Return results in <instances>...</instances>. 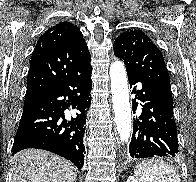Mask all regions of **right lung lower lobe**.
I'll return each instance as SVG.
<instances>
[{
	"label": "right lung lower lobe",
	"mask_w": 196,
	"mask_h": 182,
	"mask_svg": "<svg viewBox=\"0 0 196 182\" xmlns=\"http://www.w3.org/2000/svg\"><path fill=\"white\" fill-rule=\"evenodd\" d=\"M91 72L88 61L24 107L13 154L27 148L43 149L82 168L86 112L91 104ZM70 106L77 110L76 117L66 120L64 110Z\"/></svg>",
	"instance_id": "98d812e1"
}]
</instances>
